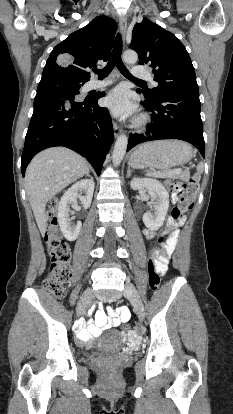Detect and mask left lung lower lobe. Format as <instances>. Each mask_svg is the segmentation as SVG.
<instances>
[{
    "mask_svg": "<svg viewBox=\"0 0 233 414\" xmlns=\"http://www.w3.org/2000/svg\"><path fill=\"white\" fill-rule=\"evenodd\" d=\"M140 93V90H137ZM152 112V123L143 134H130L127 151L139 143L180 139L194 145L204 157L203 126L200 116L199 92L177 91L162 95L157 101L142 102Z\"/></svg>",
    "mask_w": 233,
    "mask_h": 414,
    "instance_id": "1",
    "label": "left lung lower lobe"
}]
</instances>
